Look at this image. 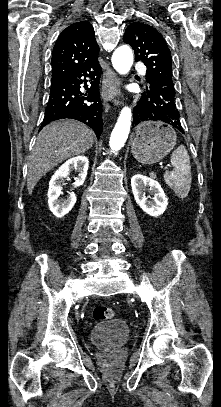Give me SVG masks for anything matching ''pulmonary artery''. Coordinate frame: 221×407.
<instances>
[{
	"instance_id": "1",
	"label": "pulmonary artery",
	"mask_w": 221,
	"mask_h": 407,
	"mask_svg": "<svg viewBox=\"0 0 221 407\" xmlns=\"http://www.w3.org/2000/svg\"><path fill=\"white\" fill-rule=\"evenodd\" d=\"M137 69H138L140 72H145V67H144L143 65H138Z\"/></svg>"
}]
</instances>
